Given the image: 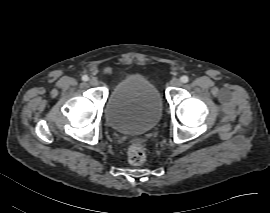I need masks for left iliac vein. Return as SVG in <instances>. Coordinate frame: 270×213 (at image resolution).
I'll list each match as a JSON object with an SVG mask.
<instances>
[{
    "label": "left iliac vein",
    "mask_w": 270,
    "mask_h": 213,
    "mask_svg": "<svg viewBox=\"0 0 270 213\" xmlns=\"http://www.w3.org/2000/svg\"><path fill=\"white\" fill-rule=\"evenodd\" d=\"M181 80L178 79V78H173L171 81H170V85L173 86V87H179L181 85Z\"/></svg>",
    "instance_id": "obj_1"
}]
</instances>
